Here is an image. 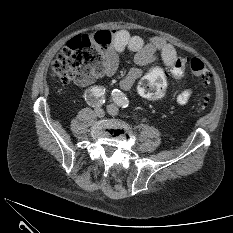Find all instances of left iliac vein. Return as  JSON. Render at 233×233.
<instances>
[{
  "label": "left iliac vein",
  "instance_id": "4c4485c4",
  "mask_svg": "<svg viewBox=\"0 0 233 233\" xmlns=\"http://www.w3.org/2000/svg\"><path fill=\"white\" fill-rule=\"evenodd\" d=\"M107 112L112 116H117L119 114V109H118V107L116 105L109 104L107 106Z\"/></svg>",
  "mask_w": 233,
  "mask_h": 233
}]
</instances>
